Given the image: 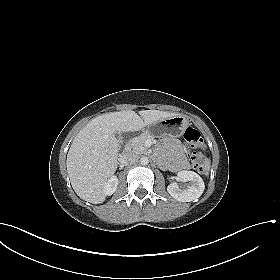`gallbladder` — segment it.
<instances>
[{
    "instance_id": "gallbladder-1",
    "label": "gallbladder",
    "mask_w": 280,
    "mask_h": 280,
    "mask_svg": "<svg viewBox=\"0 0 280 280\" xmlns=\"http://www.w3.org/2000/svg\"><path fill=\"white\" fill-rule=\"evenodd\" d=\"M116 137L119 138V135L117 134Z\"/></svg>"
}]
</instances>
